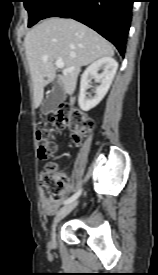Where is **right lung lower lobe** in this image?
<instances>
[{
	"label": "right lung lower lobe",
	"mask_w": 158,
	"mask_h": 275,
	"mask_svg": "<svg viewBox=\"0 0 158 275\" xmlns=\"http://www.w3.org/2000/svg\"><path fill=\"white\" fill-rule=\"evenodd\" d=\"M134 0H57L43 18H73L112 42L123 56Z\"/></svg>",
	"instance_id": "1"
}]
</instances>
